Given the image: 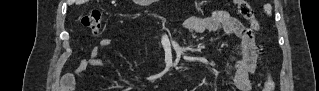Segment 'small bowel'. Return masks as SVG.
Returning <instances> with one entry per match:
<instances>
[{
	"label": "small bowel",
	"instance_id": "obj_1",
	"mask_svg": "<svg viewBox=\"0 0 319 91\" xmlns=\"http://www.w3.org/2000/svg\"><path fill=\"white\" fill-rule=\"evenodd\" d=\"M183 28L196 34L213 32L237 37L231 61L234 83L240 91L252 90L251 77L260 64L262 49L249 28L225 11H215L205 18L189 17L184 21ZM111 45V39H101L90 51L89 57L81 60L77 71H84L91 66H103L105 62L99 58L100 50L107 49Z\"/></svg>",
	"mask_w": 319,
	"mask_h": 91
}]
</instances>
